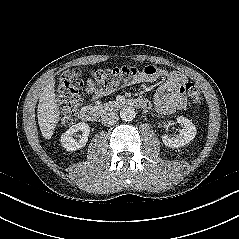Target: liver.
I'll return each instance as SVG.
<instances>
[{"label": "liver", "instance_id": "1", "mask_svg": "<svg viewBox=\"0 0 239 239\" xmlns=\"http://www.w3.org/2000/svg\"><path fill=\"white\" fill-rule=\"evenodd\" d=\"M55 82L51 79L44 87L37 107L40 131L45 139H50L60 119L59 108L55 100Z\"/></svg>", "mask_w": 239, "mask_h": 239}]
</instances>
